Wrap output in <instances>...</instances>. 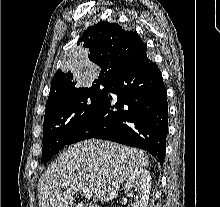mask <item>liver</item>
Listing matches in <instances>:
<instances>
[{
	"instance_id": "obj_1",
	"label": "liver",
	"mask_w": 220,
	"mask_h": 207,
	"mask_svg": "<svg viewBox=\"0 0 220 207\" xmlns=\"http://www.w3.org/2000/svg\"><path fill=\"white\" fill-rule=\"evenodd\" d=\"M148 163L143 151L114 142L91 139L74 144L40 177L39 207H72L73 188L64 184L74 180L88 187L97 200L112 201L120 185Z\"/></svg>"
}]
</instances>
